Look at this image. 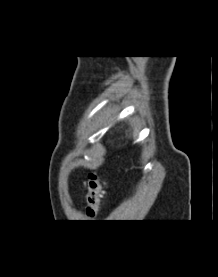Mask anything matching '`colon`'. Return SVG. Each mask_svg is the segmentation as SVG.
<instances>
[{"label":"colon","mask_w":218,"mask_h":277,"mask_svg":"<svg viewBox=\"0 0 218 277\" xmlns=\"http://www.w3.org/2000/svg\"><path fill=\"white\" fill-rule=\"evenodd\" d=\"M105 190V183L96 172H91L86 181L85 212L87 217L94 218L98 215L102 197Z\"/></svg>","instance_id":"1"}]
</instances>
